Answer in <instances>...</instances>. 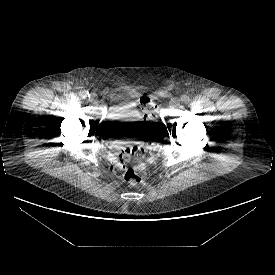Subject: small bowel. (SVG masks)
I'll use <instances>...</instances> for the list:
<instances>
[{
  "instance_id": "c3829d8e",
  "label": "small bowel",
  "mask_w": 275,
  "mask_h": 275,
  "mask_svg": "<svg viewBox=\"0 0 275 275\" xmlns=\"http://www.w3.org/2000/svg\"><path fill=\"white\" fill-rule=\"evenodd\" d=\"M110 160H111V163L113 165V168L117 171H120V170H123L125 168L124 165L122 166H118L117 163H118V157H116L115 155H111L110 156Z\"/></svg>"
}]
</instances>
